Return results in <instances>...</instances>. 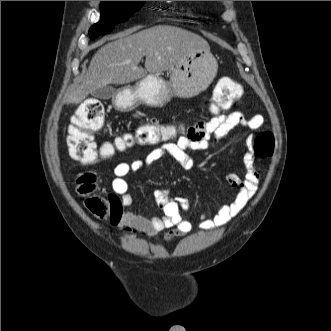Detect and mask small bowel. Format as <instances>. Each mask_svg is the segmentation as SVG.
<instances>
[{"instance_id":"small-bowel-1","label":"small bowel","mask_w":331,"mask_h":331,"mask_svg":"<svg viewBox=\"0 0 331 331\" xmlns=\"http://www.w3.org/2000/svg\"><path fill=\"white\" fill-rule=\"evenodd\" d=\"M264 123L261 114L246 117L242 112L215 115L206 121H198L187 127L185 133L174 142H164L151 151L145 158L132 162L118 163L114 170L112 189L119 195L120 204L125 208L133 204L132 195L125 177L142 168H148L158 159L169 156L183 167L191 165L188 151H204L212 149L224 136L241 126L250 130L260 128ZM249 150L244 156L245 175L230 174L228 183L238 191L233 200L221 206L215 213L210 210L193 212L189 201L184 197H171L166 190H156L155 199L162 209L161 216H144L125 210L118 217V224L128 233L156 234L165 229H172L166 236L167 240L184 235L192 230V222L184 217L189 214L198 222L202 230H213L223 227L236 217L254 196L258 188L259 174L254 166V151L249 136L246 140Z\"/></svg>"}]
</instances>
